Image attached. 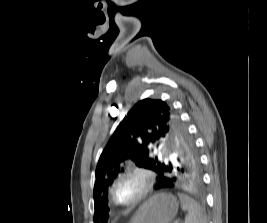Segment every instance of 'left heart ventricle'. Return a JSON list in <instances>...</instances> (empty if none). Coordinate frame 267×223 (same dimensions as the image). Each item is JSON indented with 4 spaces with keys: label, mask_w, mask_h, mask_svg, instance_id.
I'll use <instances>...</instances> for the list:
<instances>
[{
    "label": "left heart ventricle",
    "mask_w": 267,
    "mask_h": 223,
    "mask_svg": "<svg viewBox=\"0 0 267 223\" xmlns=\"http://www.w3.org/2000/svg\"><path fill=\"white\" fill-rule=\"evenodd\" d=\"M141 185V181L138 178H127L116 187V196L121 201L130 200L138 194Z\"/></svg>",
    "instance_id": "obj_1"
}]
</instances>
